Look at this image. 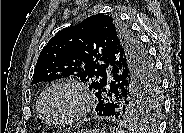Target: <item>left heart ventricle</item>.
I'll list each match as a JSON object with an SVG mask.
<instances>
[{"mask_svg": "<svg viewBox=\"0 0 184 133\" xmlns=\"http://www.w3.org/2000/svg\"><path fill=\"white\" fill-rule=\"evenodd\" d=\"M77 107V96L66 88L55 89L46 100V110L53 119L67 118L77 110Z\"/></svg>", "mask_w": 184, "mask_h": 133, "instance_id": "b2bd125f", "label": "left heart ventricle"}]
</instances>
